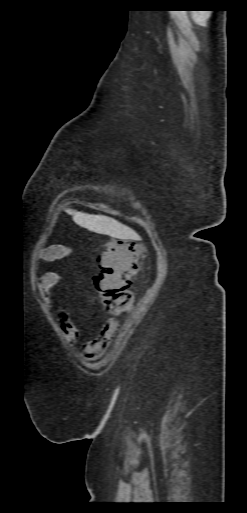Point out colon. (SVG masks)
Segmentation results:
<instances>
[{
  "instance_id": "5ec220e1",
  "label": "colon",
  "mask_w": 247,
  "mask_h": 513,
  "mask_svg": "<svg viewBox=\"0 0 247 513\" xmlns=\"http://www.w3.org/2000/svg\"><path fill=\"white\" fill-rule=\"evenodd\" d=\"M140 253L135 242H108L97 260L95 288L102 307L110 313H121L133 301L132 283L137 275Z\"/></svg>"
}]
</instances>
